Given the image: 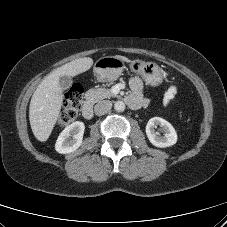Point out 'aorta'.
<instances>
[{"label":"aorta","mask_w":227,"mask_h":227,"mask_svg":"<svg viewBox=\"0 0 227 227\" xmlns=\"http://www.w3.org/2000/svg\"><path fill=\"white\" fill-rule=\"evenodd\" d=\"M114 109L117 112H123L125 110V104L123 101H116L114 104Z\"/></svg>","instance_id":"aorta-1"}]
</instances>
